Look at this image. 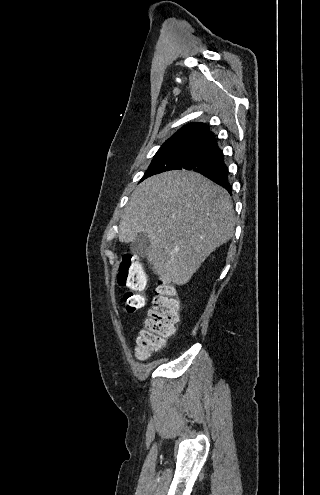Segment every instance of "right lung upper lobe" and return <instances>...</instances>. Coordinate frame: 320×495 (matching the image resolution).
<instances>
[{
    "mask_svg": "<svg viewBox=\"0 0 320 495\" xmlns=\"http://www.w3.org/2000/svg\"><path fill=\"white\" fill-rule=\"evenodd\" d=\"M214 136V133L210 131L206 124L189 123L179 129L172 137L166 140L165 143L179 140H202L207 142L214 138Z\"/></svg>",
    "mask_w": 320,
    "mask_h": 495,
    "instance_id": "cb5924a9",
    "label": "right lung upper lobe"
}]
</instances>
